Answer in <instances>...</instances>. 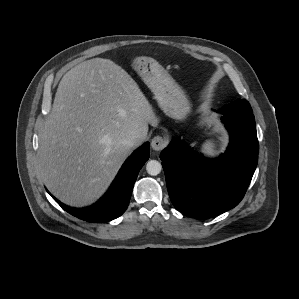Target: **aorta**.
Listing matches in <instances>:
<instances>
[{"instance_id": "aorta-1", "label": "aorta", "mask_w": 299, "mask_h": 299, "mask_svg": "<svg viewBox=\"0 0 299 299\" xmlns=\"http://www.w3.org/2000/svg\"><path fill=\"white\" fill-rule=\"evenodd\" d=\"M162 165L157 160H150L146 165V171L149 175L156 176L161 172Z\"/></svg>"}]
</instances>
